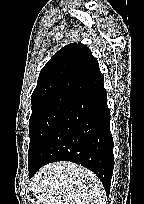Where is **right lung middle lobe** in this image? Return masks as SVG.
Returning <instances> with one entry per match:
<instances>
[{
	"instance_id": "obj_1",
	"label": "right lung middle lobe",
	"mask_w": 144,
	"mask_h": 204,
	"mask_svg": "<svg viewBox=\"0 0 144 204\" xmlns=\"http://www.w3.org/2000/svg\"><path fill=\"white\" fill-rule=\"evenodd\" d=\"M74 98L72 95H58L32 105V114L29 120L28 167L34 163L37 153Z\"/></svg>"
}]
</instances>
